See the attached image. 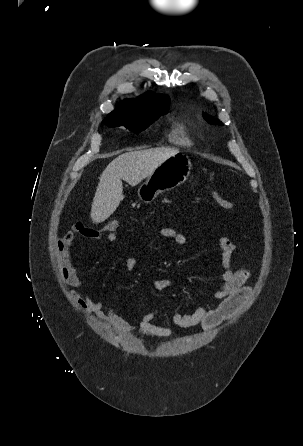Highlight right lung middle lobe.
<instances>
[{"mask_svg":"<svg viewBox=\"0 0 303 446\" xmlns=\"http://www.w3.org/2000/svg\"><path fill=\"white\" fill-rule=\"evenodd\" d=\"M168 108L169 106L158 107L151 112L139 115L111 112L104 119V123L110 127L124 126L135 133H139L149 127V125L157 120L161 115L166 114L168 112Z\"/></svg>","mask_w":303,"mask_h":446,"instance_id":"1","label":"right lung middle lobe"}]
</instances>
